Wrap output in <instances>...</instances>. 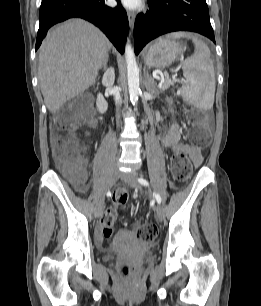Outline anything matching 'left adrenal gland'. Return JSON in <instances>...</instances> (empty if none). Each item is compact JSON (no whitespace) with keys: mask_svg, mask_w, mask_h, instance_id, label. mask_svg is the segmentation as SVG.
Segmentation results:
<instances>
[{"mask_svg":"<svg viewBox=\"0 0 261 306\" xmlns=\"http://www.w3.org/2000/svg\"><path fill=\"white\" fill-rule=\"evenodd\" d=\"M151 84H152V78L149 75L148 71H146L145 87H146L147 91H152Z\"/></svg>","mask_w":261,"mask_h":306,"instance_id":"1","label":"left adrenal gland"}]
</instances>
